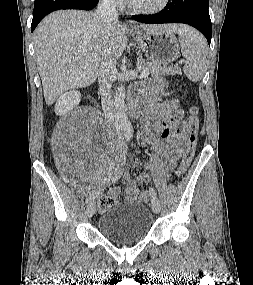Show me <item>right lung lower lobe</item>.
Segmentation results:
<instances>
[{
	"mask_svg": "<svg viewBox=\"0 0 253 285\" xmlns=\"http://www.w3.org/2000/svg\"><path fill=\"white\" fill-rule=\"evenodd\" d=\"M98 0H35L31 32L49 13L59 9H93Z\"/></svg>",
	"mask_w": 253,
	"mask_h": 285,
	"instance_id": "obj_1",
	"label": "right lung lower lobe"
}]
</instances>
